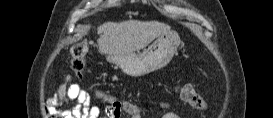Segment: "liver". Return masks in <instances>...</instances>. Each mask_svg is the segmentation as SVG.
Masks as SVG:
<instances>
[{"label": "liver", "mask_w": 273, "mask_h": 118, "mask_svg": "<svg viewBox=\"0 0 273 118\" xmlns=\"http://www.w3.org/2000/svg\"><path fill=\"white\" fill-rule=\"evenodd\" d=\"M170 31V26L158 21L127 20L122 22H106L98 28L101 33L98 39L100 52L108 55L130 54L145 48L160 34ZM69 77H67V80ZM62 98L66 93V85L58 90Z\"/></svg>", "instance_id": "1"}]
</instances>
